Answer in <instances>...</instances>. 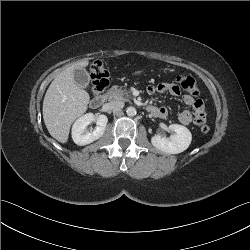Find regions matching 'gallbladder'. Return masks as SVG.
Segmentation results:
<instances>
[{
	"label": "gallbladder",
	"instance_id": "bac80fb5",
	"mask_svg": "<svg viewBox=\"0 0 250 250\" xmlns=\"http://www.w3.org/2000/svg\"><path fill=\"white\" fill-rule=\"evenodd\" d=\"M73 75L77 85L83 88H86L88 86L90 77L88 72L84 68L75 69Z\"/></svg>",
	"mask_w": 250,
	"mask_h": 250
}]
</instances>
